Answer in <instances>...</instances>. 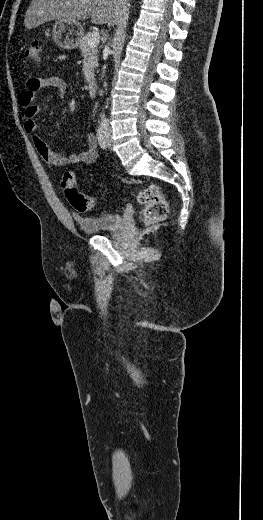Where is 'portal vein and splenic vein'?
<instances>
[{
    "instance_id": "18ae733b",
    "label": "portal vein and splenic vein",
    "mask_w": 263,
    "mask_h": 520,
    "mask_svg": "<svg viewBox=\"0 0 263 520\" xmlns=\"http://www.w3.org/2000/svg\"><path fill=\"white\" fill-rule=\"evenodd\" d=\"M99 38H100L99 32L97 30L94 31L91 35V38L88 40V45L90 47L96 46L99 43Z\"/></svg>"
}]
</instances>
